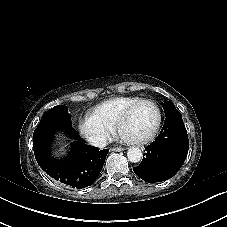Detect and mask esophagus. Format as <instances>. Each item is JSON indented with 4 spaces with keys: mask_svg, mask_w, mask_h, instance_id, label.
<instances>
[{
    "mask_svg": "<svg viewBox=\"0 0 227 227\" xmlns=\"http://www.w3.org/2000/svg\"><path fill=\"white\" fill-rule=\"evenodd\" d=\"M125 147H121V146H114L111 148L112 151H123L125 150Z\"/></svg>",
    "mask_w": 227,
    "mask_h": 227,
    "instance_id": "obj_1",
    "label": "esophagus"
}]
</instances>
